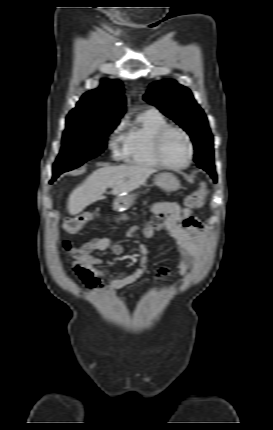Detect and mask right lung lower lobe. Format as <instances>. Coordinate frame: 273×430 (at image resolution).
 <instances>
[{"label": "right lung lower lobe", "instance_id": "obj_1", "mask_svg": "<svg viewBox=\"0 0 273 430\" xmlns=\"http://www.w3.org/2000/svg\"><path fill=\"white\" fill-rule=\"evenodd\" d=\"M57 177L53 176L52 180L50 181V183H52V181H54Z\"/></svg>", "mask_w": 273, "mask_h": 430}]
</instances>
